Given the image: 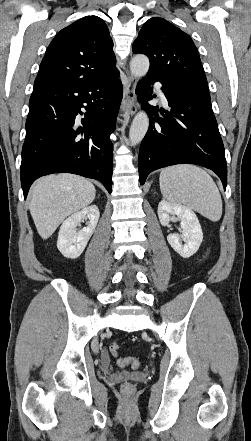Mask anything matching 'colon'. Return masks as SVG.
Masks as SVG:
<instances>
[{"mask_svg":"<svg viewBox=\"0 0 251 441\" xmlns=\"http://www.w3.org/2000/svg\"><path fill=\"white\" fill-rule=\"evenodd\" d=\"M109 351L111 352V354L113 355H117L118 351H119V345L117 343H112L109 346ZM118 364L120 366H130L132 368H137L140 364L139 360L137 358L134 357H126V358H122L118 361ZM122 390L125 393H132L134 391V386L130 383H125L122 385Z\"/></svg>","mask_w":251,"mask_h":441,"instance_id":"obj_1","label":"colon"}]
</instances>
